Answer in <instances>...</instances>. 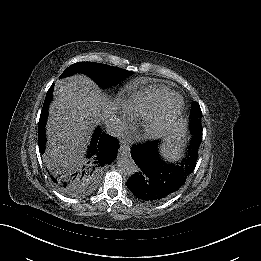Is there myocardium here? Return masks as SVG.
<instances>
[{
  "mask_svg": "<svg viewBox=\"0 0 261 261\" xmlns=\"http://www.w3.org/2000/svg\"><path fill=\"white\" fill-rule=\"evenodd\" d=\"M172 100L178 101L177 110L172 116L166 117V107ZM183 106L184 101L182 96L174 93L159 110L149 114L146 118L137 123V133L147 140L156 139L165 135L177 122L183 111Z\"/></svg>",
  "mask_w": 261,
  "mask_h": 261,
  "instance_id": "1",
  "label": "myocardium"
}]
</instances>
